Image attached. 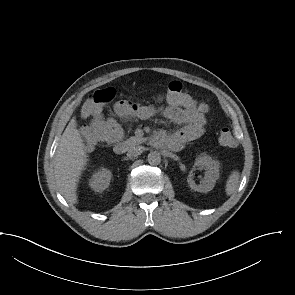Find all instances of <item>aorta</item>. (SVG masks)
<instances>
[{
	"instance_id": "762f6f07",
	"label": "aorta",
	"mask_w": 295,
	"mask_h": 295,
	"mask_svg": "<svg viewBox=\"0 0 295 295\" xmlns=\"http://www.w3.org/2000/svg\"><path fill=\"white\" fill-rule=\"evenodd\" d=\"M147 160L152 165H158L161 162V155L157 151L150 152L148 154Z\"/></svg>"
}]
</instances>
